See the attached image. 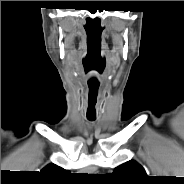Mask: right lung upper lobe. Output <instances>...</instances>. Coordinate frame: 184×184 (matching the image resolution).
Here are the masks:
<instances>
[{
    "mask_svg": "<svg viewBox=\"0 0 184 184\" xmlns=\"http://www.w3.org/2000/svg\"><path fill=\"white\" fill-rule=\"evenodd\" d=\"M41 173L51 181H60L67 176L68 171L55 164H49L41 170Z\"/></svg>",
    "mask_w": 184,
    "mask_h": 184,
    "instance_id": "obj_1",
    "label": "right lung upper lobe"
}]
</instances>
